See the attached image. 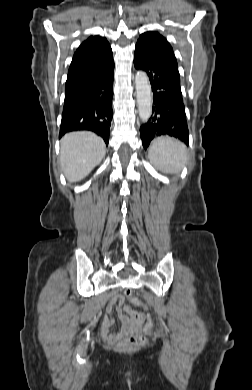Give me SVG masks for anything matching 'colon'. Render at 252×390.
Masks as SVG:
<instances>
[{"label": "colon", "instance_id": "5ec220e1", "mask_svg": "<svg viewBox=\"0 0 252 390\" xmlns=\"http://www.w3.org/2000/svg\"><path fill=\"white\" fill-rule=\"evenodd\" d=\"M124 294H125L126 298L133 299V294H132V291L130 289H127ZM151 328H152V322L150 320H148L147 326H146V331L147 332L151 331ZM144 339H145V333H141V332L135 333L131 337L121 341L118 344V348L120 350H124V351L134 350L142 344Z\"/></svg>", "mask_w": 252, "mask_h": 390}]
</instances>
